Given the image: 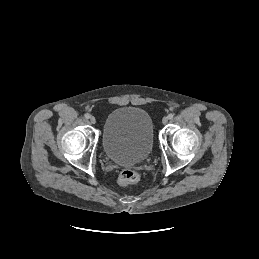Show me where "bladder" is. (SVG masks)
<instances>
[{"label":"bladder","instance_id":"31cf9c89","mask_svg":"<svg viewBox=\"0 0 259 259\" xmlns=\"http://www.w3.org/2000/svg\"><path fill=\"white\" fill-rule=\"evenodd\" d=\"M153 123L149 114L137 107H119L106 118L102 147L108 159L122 165L144 162L153 149Z\"/></svg>","mask_w":259,"mask_h":259}]
</instances>
